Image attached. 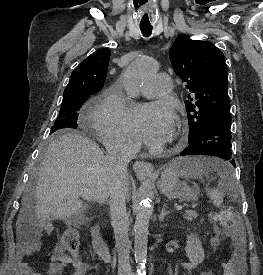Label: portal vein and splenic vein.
Listing matches in <instances>:
<instances>
[{"mask_svg": "<svg viewBox=\"0 0 263 275\" xmlns=\"http://www.w3.org/2000/svg\"><path fill=\"white\" fill-rule=\"evenodd\" d=\"M81 197L85 200H88V201H91V197H89L87 194L85 193H80ZM176 210H182L183 209V206H176L175 207Z\"/></svg>", "mask_w": 263, "mask_h": 275, "instance_id": "18ae733b", "label": "portal vein and splenic vein"}]
</instances>
